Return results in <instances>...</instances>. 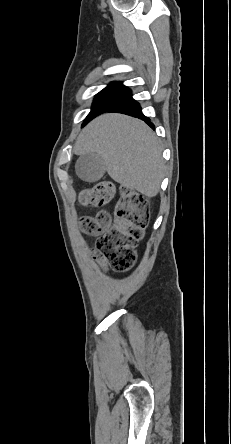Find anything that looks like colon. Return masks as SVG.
<instances>
[{"label":"colon","mask_w":231,"mask_h":444,"mask_svg":"<svg viewBox=\"0 0 231 444\" xmlns=\"http://www.w3.org/2000/svg\"><path fill=\"white\" fill-rule=\"evenodd\" d=\"M115 193L112 183L104 181L81 192L79 200L85 206L100 207L108 204ZM149 202L135 191L125 190L116 206L112 220L105 211L80 219L82 231L98 236L97 253L116 271H128L135 263V248L144 237L149 221Z\"/></svg>","instance_id":"5ec220e1"}]
</instances>
